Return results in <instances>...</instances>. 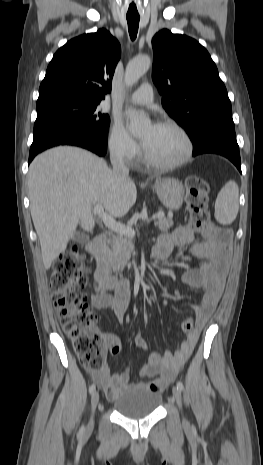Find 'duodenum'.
Masks as SVG:
<instances>
[{"label":"duodenum","instance_id":"obj_1","mask_svg":"<svg viewBox=\"0 0 263 465\" xmlns=\"http://www.w3.org/2000/svg\"><path fill=\"white\" fill-rule=\"evenodd\" d=\"M106 244L107 236L105 234H99L94 237L86 247L87 252L95 261L96 268L94 276L100 288H110L119 284L118 280L111 276L110 267L106 259Z\"/></svg>","mask_w":263,"mask_h":465}]
</instances>
